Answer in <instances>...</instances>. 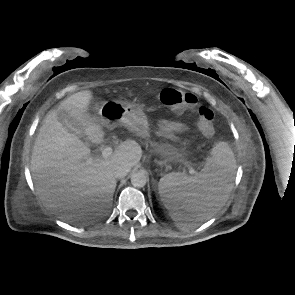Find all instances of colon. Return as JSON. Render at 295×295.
Here are the masks:
<instances>
[{
  "label": "colon",
  "instance_id": "1",
  "mask_svg": "<svg viewBox=\"0 0 295 295\" xmlns=\"http://www.w3.org/2000/svg\"><path fill=\"white\" fill-rule=\"evenodd\" d=\"M159 100L177 114H182L186 111H196L197 128L199 131L206 136L213 134V111L205 106L197 107V99L193 94L174 88H165L160 92Z\"/></svg>",
  "mask_w": 295,
  "mask_h": 295
}]
</instances>
